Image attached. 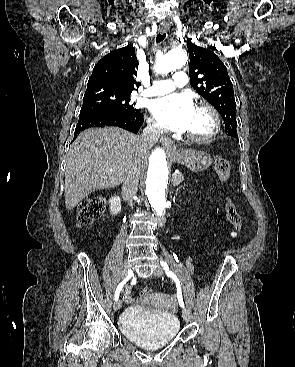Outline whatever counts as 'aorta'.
Listing matches in <instances>:
<instances>
[{"mask_svg":"<svg viewBox=\"0 0 295 367\" xmlns=\"http://www.w3.org/2000/svg\"><path fill=\"white\" fill-rule=\"evenodd\" d=\"M187 60L186 51L181 48H175L166 52L158 59L156 70L160 73H168L185 66ZM168 183V159L164 149L158 147L149 157L145 176L146 195L153 211L158 217L163 216L168 206Z\"/></svg>","mask_w":295,"mask_h":367,"instance_id":"aorta-1","label":"aorta"}]
</instances>
